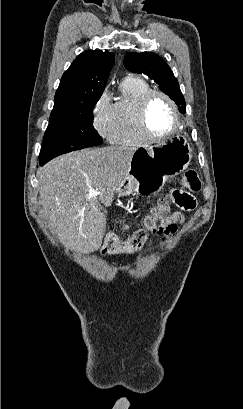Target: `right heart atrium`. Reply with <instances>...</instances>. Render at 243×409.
<instances>
[{
    "instance_id": "obj_1",
    "label": "right heart atrium",
    "mask_w": 243,
    "mask_h": 409,
    "mask_svg": "<svg viewBox=\"0 0 243 409\" xmlns=\"http://www.w3.org/2000/svg\"><path fill=\"white\" fill-rule=\"evenodd\" d=\"M113 123V108L110 96L104 91L95 102L92 110L94 130L105 139H109Z\"/></svg>"
}]
</instances>
